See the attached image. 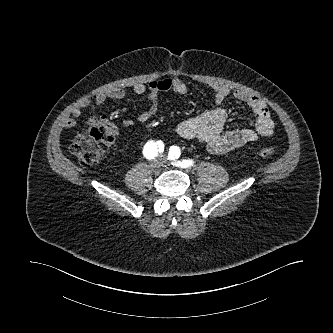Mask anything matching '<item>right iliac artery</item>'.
I'll list each match as a JSON object with an SVG mask.
<instances>
[{"instance_id": "82829eb1", "label": "right iliac artery", "mask_w": 333, "mask_h": 333, "mask_svg": "<svg viewBox=\"0 0 333 333\" xmlns=\"http://www.w3.org/2000/svg\"><path fill=\"white\" fill-rule=\"evenodd\" d=\"M163 150L164 144L162 141H149L143 148V154L150 160L156 158Z\"/></svg>"}]
</instances>
